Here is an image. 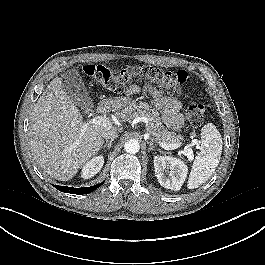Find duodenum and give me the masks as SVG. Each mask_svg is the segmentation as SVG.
Wrapping results in <instances>:
<instances>
[{"mask_svg": "<svg viewBox=\"0 0 265 265\" xmlns=\"http://www.w3.org/2000/svg\"><path fill=\"white\" fill-rule=\"evenodd\" d=\"M108 106H110V103H109V102H108V103H105V104H103V105H100V104H99L98 108H99V110H103L104 108H106V107H108Z\"/></svg>", "mask_w": 265, "mask_h": 265, "instance_id": "1", "label": "duodenum"}]
</instances>
